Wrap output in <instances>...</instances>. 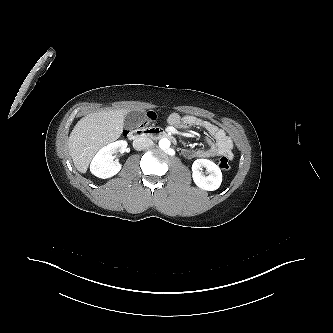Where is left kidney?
Returning a JSON list of instances; mask_svg holds the SVG:
<instances>
[{
  "label": "left kidney",
  "mask_w": 333,
  "mask_h": 333,
  "mask_svg": "<svg viewBox=\"0 0 333 333\" xmlns=\"http://www.w3.org/2000/svg\"><path fill=\"white\" fill-rule=\"evenodd\" d=\"M203 168L206 169V174L202 172ZM192 171L193 180L199 188L214 191L220 187L222 172L214 162L208 159H197L192 165Z\"/></svg>",
  "instance_id": "5707ae66"
}]
</instances>
